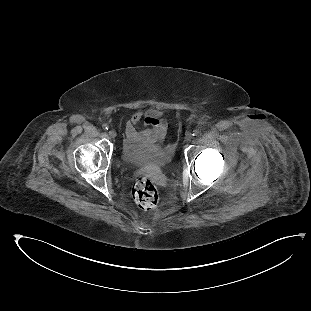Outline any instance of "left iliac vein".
<instances>
[{"instance_id": "obj_1", "label": "left iliac vein", "mask_w": 311, "mask_h": 311, "mask_svg": "<svg viewBox=\"0 0 311 311\" xmlns=\"http://www.w3.org/2000/svg\"><path fill=\"white\" fill-rule=\"evenodd\" d=\"M193 138V135L191 133H187L185 135V141L190 142Z\"/></svg>"}]
</instances>
